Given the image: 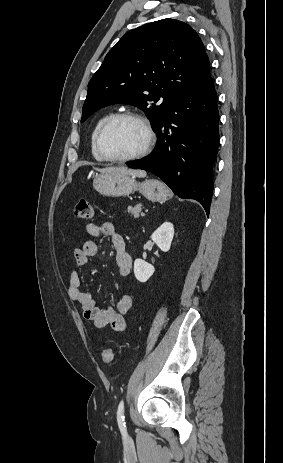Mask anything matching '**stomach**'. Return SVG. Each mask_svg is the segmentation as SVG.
Wrapping results in <instances>:
<instances>
[{
    "mask_svg": "<svg viewBox=\"0 0 283 463\" xmlns=\"http://www.w3.org/2000/svg\"><path fill=\"white\" fill-rule=\"evenodd\" d=\"M93 186L96 191L105 196L123 197L139 191L153 202L164 201L171 196L167 187L156 179L136 181V177L113 172H101L94 177Z\"/></svg>",
    "mask_w": 283,
    "mask_h": 463,
    "instance_id": "stomach-1",
    "label": "stomach"
}]
</instances>
